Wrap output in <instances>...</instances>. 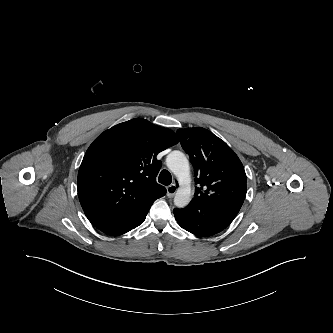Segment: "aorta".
I'll return each instance as SVG.
<instances>
[{"label": "aorta", "mask_w": 333, "mask_h": 333, "mask_svg": "<svg viewBox=\"0 0 333 333\" xmlns=\"http://www.w3.org/2000/svg\"><path fill=\"white\" fill-rule=\"evenodd\" d=\"M166 164L170 171L177 177L182 184L178 188L174 197V204L177 208H184L191 199L190 167L189 162L184 153L181 151H172L166 159Z\"/></svg>", "instance_id": "obj_1"}]
</instances>
